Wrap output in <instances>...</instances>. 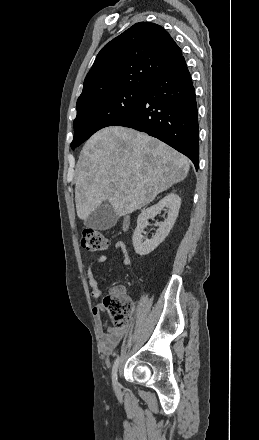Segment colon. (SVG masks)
Here are the masks:
<instances>
[{
    "label": "colon",
    "mask_w": 259,
    "mask_h": 440,
    "mask_svg": "<svg viewBox=\"0 0 259 440\" xmlns=\"http://www.w3.org/2000/svg\"><path fill=\"white\" fill-rule=\"evenodd\" d=\"M81 245L87 251H101L107 247L108 242L100 231L85 228L82 232ZM103 307L116 329H122L127 325L134 310L133 302L119 287H113L104 297Z\"/></svg>",
    "instance_id": "1"
}]
</instances>
